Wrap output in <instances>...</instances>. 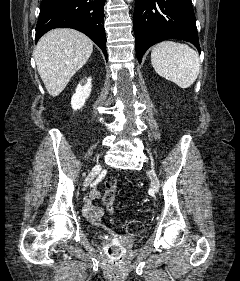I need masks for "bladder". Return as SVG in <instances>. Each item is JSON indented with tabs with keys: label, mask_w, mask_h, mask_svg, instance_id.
Segmentation results:
<instances>
[{
	"label": "bladder",
	"mask_w": 240,
	"mask_h": 281,
	"mask_svg": "<svg viewBox=\"0 0 240 281\" xmlns=\"http://www.w3.org/2000/svg\"><path fill=\"white\" fill-rule=\"evenodd\" d=\"M96 237H97L98 239H103L104 236H103V234L99 233V234L96 235Z\"/></svg>",
	"instance_id": "obj_1"
}]
</instances>
